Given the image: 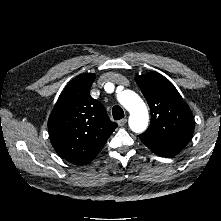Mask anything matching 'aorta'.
<instances>
[{"label": "aorta", "mask_w": 221, "mask_h": 221, "mask_svg": "<svg viewBox=\"0 0 221 221\" xmlns=\"http://www.w3.org/2000/svg\"><path fill=\"white\" fill-rule=\"evenodd\" d=\"M117 99L130 113L129 127L135 133L146 130L149 121L148 110L143 100L133 91L124 90Z\"/></svg>", "instance_id": "obj_1"}]
</instances>
